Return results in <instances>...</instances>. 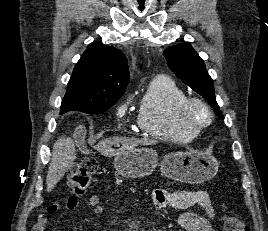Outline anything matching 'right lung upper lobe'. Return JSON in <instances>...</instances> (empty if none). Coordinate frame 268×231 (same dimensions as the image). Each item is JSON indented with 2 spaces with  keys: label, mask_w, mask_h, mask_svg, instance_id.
I'll list each match as a JSON object with an SVG mask.
<instances>
[{
  "label": "right lung upper lobe",
  "mask_w": 268,
  "mask_h": 231,
  "mask_svg": "<svg viewBox=\"0 0 268 231\" xmlns=\"http://www.w3.org/2000/svg\"><path fill=\"white\" fill-rule=\"evenodd\" d=\"M129 79L126 56L113 46L93 42L77 62L62 103L95 105L119 99Z\"/></svg>",
  "instance_id": "obj_1"
}]
</instances>
